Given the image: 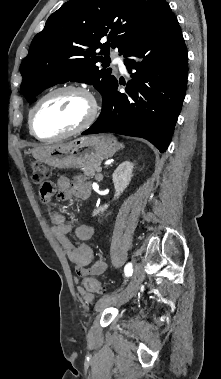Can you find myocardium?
Returning <instances> with one entry per match:
<instances>
[{"mask_svg": "<svg viewBox=\"0 0 221 379\" xmlns=\"http://www.w3.org/2000/svg\"><path fill=\"white\" fill-rule=\"evenodd\" d=\"M62 92H76V93H80L83 96H85L88 99L89 103H90L89 114L87 115V117L85 118V120L80 125H78L77 127H75L72 130H69V131H67L65 133H62V134H59V135H55V136H52V137H42L39 134H37V132L35 131V128H34V115H35V112L37 111V109L39 108V106L47 98H49L50 96H52L54 94L62 93ZM98 113H99L98 102H97L95 96L87 88H85L83 86H80V85H75V84L63 85V86H59V87L54 88V89L48 91L47 93H45L43 96H41L37 100V102L34 104V106L30 109L29 116H28L29 130H30V133L35 138H37V139H39L41 141H57V140L65 139V138H68L70 136L76 135V134H78V133L86 130L87 128H89L95 122V120H96V118L98 116Z\"/></svg>", "mask_w": 221, "mask_h": 379, "instance_id": "f54148a6", "label": "myocardium"}]
</instances>
